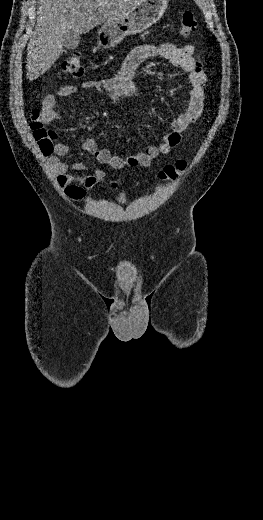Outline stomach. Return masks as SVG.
<instances>
[{
    "instance_id": "obj_1",
    "label": "stomach",
    "mask_w": 263,
    "mask_h": 520,
    "mask_svg": "<svg viewBox=\"0 0 263 520\" xmlns=\"http://www.w3.org/2000/svg\"><path fill=\"white\" fill-rule=\"evenodd\" d=\"M168 2L169 0H143L122 16L105 22L97 33L98 45L103 48L113 47L128 35L145 31L160 20Z\"/></svg>"
}]
</instances>
